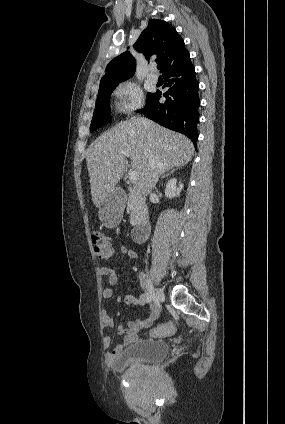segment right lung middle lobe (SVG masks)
I'll list each match as a JSON object with an SVG mask.
<instances>
[{
	"mask_svg": "<svg viewBox=\"0 0 285 424\" xmlns=\"http://www.w3.org/2000/svg\"><path fill=\"white\" fill-rule=\"evenodd\" d=\"M118 84H113L103 88H99L94 110L93 119L90 126V132L108 124L111 121L110 115V95ZM152 96L148 93L147 100Z\"/></svg>",
	"mask_w": 285,
	"mask_h": 424,
	"instance_id": "right-lung-middle-lobe-1",
	"label": "right lung middle lobe"
}]
</instances>
